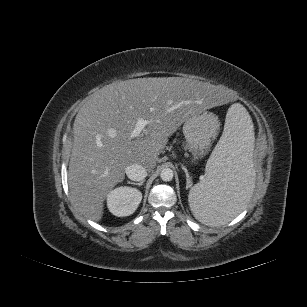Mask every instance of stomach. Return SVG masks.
<instances>
[{"instance_id":"1","label":"stomach","mask_w":307,"mask_h":307,"mask_svg":"<svg viewBox=\"0 0 307 307\" xmlns=\"http://www.w3.org/2000/svg\"><path fill=\"white\" fill-rule=\"evenodd\" d=\"M218 130L219 120L213 113L198 111L188 116L184 121L183 134L194 160L207 152Z\"/></svg>"}]
</instances>
